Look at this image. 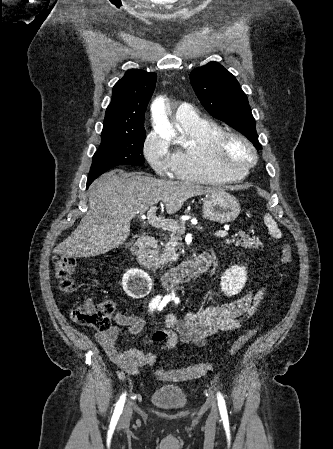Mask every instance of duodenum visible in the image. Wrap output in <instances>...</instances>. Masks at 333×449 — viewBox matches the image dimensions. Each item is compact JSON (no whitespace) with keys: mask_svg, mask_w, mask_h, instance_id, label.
Here are the masks:
<instances>
[{"mask_svg":"<svg viewBox=\"0 0 333 449\" xmlns=\"http://www.w3.org/2000/svg\"><path fill=\"white\" fill-rule=\"evenodd\" d=\"M156 248L157 240L154 237H144L134 245L132 253L142 267L148 270H155L154 255ZM211 264V255L209 253H202L186 263L183 267L163 274L161 276V285L166 291H170L182 282L203 274Z\"/></svg>","mask_w":333,"mask_h":449,"instance_id":"duodenum-1","label":"duodenum"}]
</instances>
